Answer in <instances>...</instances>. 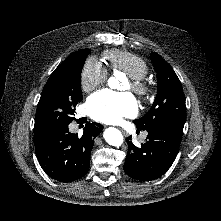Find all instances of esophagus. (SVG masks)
Segmentation results:
<instances>
[{
  "label": "esophagus",
  "instance_id": "34e87169",
  "mask_svg": "<svg viewBox=\"0 0 221 221\" xmlns=\"http://www.w3.org/2000/svg\"><path fill=\"white\" fill-rule=\"evenodd\" d=\"M120 130L122 131L123 134H126V132L123 129L120 128Z\"/></svg>",
  "mask_w": 221,
  "mask_h": 221
}]
</instances>
